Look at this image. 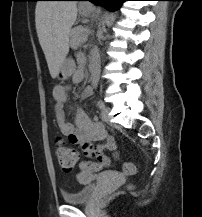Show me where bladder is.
<instances>
[{"label": "bladder", "instance_id": "bladder-1", "mask_svg": "<svg viewBox=\"0 0 202 217\" xmlns=\"http://www.w3.org/2000/svg\"><path fill=\"white\" fill-rule=\"evenodd\" d=\"M115 175L113 172H81L77 175L80 188L74 193H63L62 198L65 203L70 205L85 204L91 201L95 195L96 180L100 178H114Z\"/></svg>", "mask_w": 202, "mask_h": 217}]
</instances>
